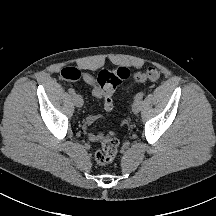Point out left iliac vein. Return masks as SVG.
<instances>
[{
  "label": "left iliac vein",
  "instance_id": "left-iliac-vein-1",
  "mask_svg": "<svg viewBox=\"0 0 216 216\" xmlns=\"http://www.w3.org/2000/svg\"><path fill=\"white\" fill-rule=\"evenodd\" d=\"M141 109V102L140 101H134L133 105H132V111L137 114L139 113Z\"/></svg>",
  "mask_w": 216,
  "mask_h": 216
}]
</instances>
